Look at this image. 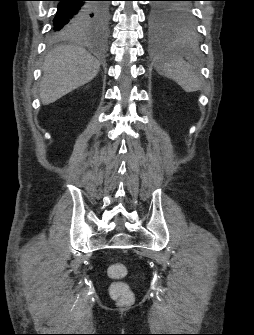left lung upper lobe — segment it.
<instances>
[{"instance_id":"5c2ea615","label":"left lung upper lobe","mask_w":254,"mask_h":335,"mask_svg":"<svg viewBox=\"0 0 254 335\" xmlns=\"http://www.w3.org/2000/svg\"><path fill=\"white\" fill-rule=\"evenodd\" d=\"M149 28L153 36L189 33L195 29L192 0H150Z\"/></svg>"}]
</instances>
